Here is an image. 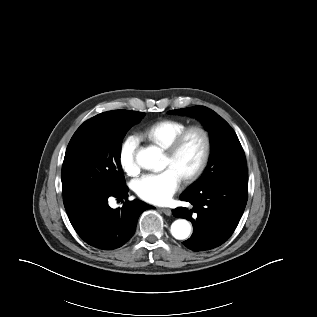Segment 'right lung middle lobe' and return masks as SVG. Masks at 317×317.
<instances>
[{"instance_id":"dd1d6c3e","label":"right lung middle lobe","mask_w":317,"mask_h":317,"mask_svg":"<svg viewBox=\"0 0 317 317\" xmlns=\"http://www.w3.org/2000/svg\"><path fill=\"white\" fill-rule=\"evenodd\" d=\"M144 115L128 110L108 111L90 118L77 129L62 166L65 207L125 187L120 165L122 140Z\"/></svg>"}]
</instances>
